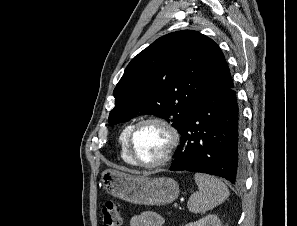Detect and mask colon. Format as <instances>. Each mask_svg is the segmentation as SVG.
<instances>
[{
    "instance_id": "5ec220e1",
    "label": "colon",
    "mask_w": 297,
    "mask_h": 226,
    "mask_svg": "<svg viewBox=\"0 0 297 226\" xmlns=\"http://www.w3.org/2000/svg\"><path fill=\"white\" fill-rule=\"evenodd\" d=\"M103 226H120L121 217L112 201H106L101 209Z\"/></svg>"
}]
</instances>
